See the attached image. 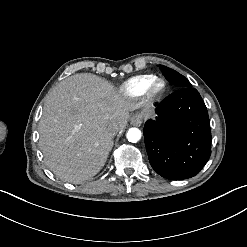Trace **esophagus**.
<instances>
[{"instance_id": "1", "label": "esophagus", "mask_w": 247, "mask_h": 247, "mask_svg": "<svg viewBox=\"0 0 247 247\" xmlns=\"http://www.w3.org/2000/svg\"><path fill=\"white\" fill-rule=\"evenodd\" d=\"M130 122L134 126H140L141 123H142V116H141V114H139V113L134 114L131 117Z\"/></svg>"}]
</instances>
